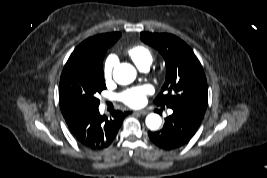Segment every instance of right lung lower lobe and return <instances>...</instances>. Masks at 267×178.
<instances>
[{
  "instance_id": "98d812e1",
  "label": "right lung lower lobe",
  "mask_w": 267,
  "mask_h": 178,
  "mask_svg": "<svg viewBox=\"0 0 267 178\" xmlns=\"http://www.w3.org/2000/svg\"><path fill=\"white\" fill-rule=\"evenodd\" d=\"M67 126L77 142L91 150L107 148L115 139L126 112L113 110L101 115L98 107L73 105L62 110Z\"/></svg>"
}]
</instances>
